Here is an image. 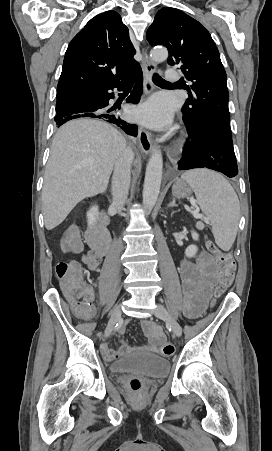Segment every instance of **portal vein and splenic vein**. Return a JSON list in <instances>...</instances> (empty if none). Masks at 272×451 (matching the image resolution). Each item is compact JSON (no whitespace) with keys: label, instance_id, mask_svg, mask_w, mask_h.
I'll return each instance as SVG.
<instances>
[{"label":"portal vein and splenic vein","instance_id":"obj_1","mask_svg":"<svg viewBox=\"0 0 272 451\" xmlns=\"http://www.w3.org/2000/svg\"><path fill=\"white\" fill-rule=\"evenodd\" d=\"M191 214H193L194 218H202L201 214H198L196 210H194V212H191Z\"/></svg>","mask_w":272,"mask_h":451}]
</instances>
